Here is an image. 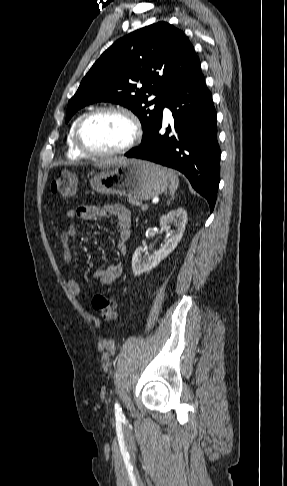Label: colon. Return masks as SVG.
I'll list each match as a JSON object with an SVG mask.
<instances>
[{
	"mask_svg": "<svg viewBox=\"0 0 287 486\" xmlns=\"http://www.w3.org/2000/svg\"><path fill=\"white\" fill-rule=\"evenodd\" d=\"M76 187V177L69 171H61L58 173L52 180L50 186L54 194H59L64 197L72 196L76 191ZM92 306L105 322L112 323L116 319V303L106 295H95L92 299Z\"/></svg>",
	"mask_w": 287,
	"mask_h": 486,
	"instance_id": "colon-1",
	"label": "colon"
}]
</instances>
